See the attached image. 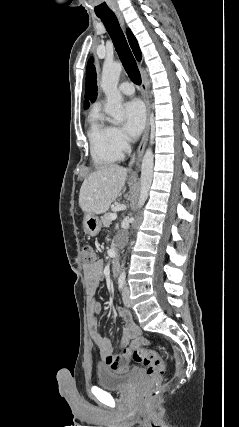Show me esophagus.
<instances>
[{
  "label": "esophagus",
  "instance_id": "1",
  "mask_svg": "<svg viewBox=\"0 0 239 427\" xmlns=\"http://www.w3.org/2000/svg\"><path fill=\"white\" fill-rule=\"evenodd\" d=\"M116 16H117L120 24L122 26H124V20H123L122 15L118 12V13H116ZM139 67H140L141 76H142L141 90H142L143 99H144V102L146 105V126H145L143 136L141 138L140 144H139L138 149H137V163H136V165H138V163H139V161H140V159L144 153L147 141H148V136H149V131H150V114H151L150 113L151 111H150L149 98H148V90H147L144 72H143V69L141 67V64H139Z\"/></svg>",
  "mask_w": 239,
  "mask_h": 427
}]
</instances>
